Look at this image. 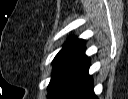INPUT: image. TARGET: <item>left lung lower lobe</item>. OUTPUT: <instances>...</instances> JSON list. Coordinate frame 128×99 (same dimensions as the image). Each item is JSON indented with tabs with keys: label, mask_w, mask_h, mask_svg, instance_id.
<instances>
[{
	"label": "left lung lower lobe",
	"mask_w": 128,
	"mask_h": 99,
	"mask_svg": "<svg viewBox=\"0 0 128 99\" xmlns=\"http://www.w3.org/2000/svg\"><path fill=\"white\" fill-rule=\"evenodd\" d=\"M84 46L56 72L48 87V99H97L92 77L88 74L90 59Z\"/></svg>",
	"instance_id": "obj_1"
}]
</instances>
